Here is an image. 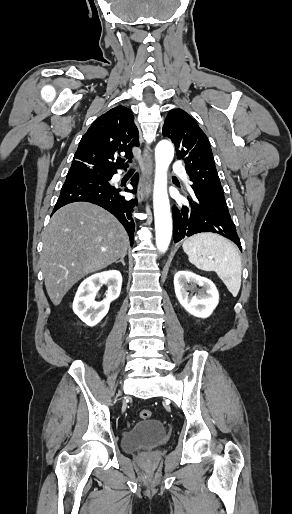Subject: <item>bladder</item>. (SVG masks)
I'll return each mask as SVG.
<instances>
[{"mask_svg":"<svg viewBox=\"0 0 292 514\" xmlns=\"http://www.w3.org/2000/svg\"><path fill=\"white\" fill-rule=\"evenodd\" d=\"M168 433L157 419L140 420L127 429L122 436V447L126 452L156 447L164 444Z\"/></svg>","mask_w":292,"mask_h":514,"instance_id":"bladder-1","label":"bladder"}]
</instances>
